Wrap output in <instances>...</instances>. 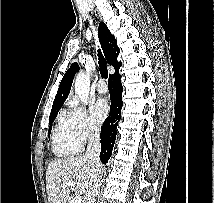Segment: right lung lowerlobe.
Instances as JSON below:
<instances>
[{
  "label": "right lung lower lobe",
  "instance_id": "1",
  "mask_svg": "<svg viewBox=\"0 0 214 203\" xmlns=\"http://www.w3.org/2000/svg\"><path fill=\"white\" fill-rule=\"evenodd\" d=\"M108 87L111 98L110 113L107 119L104 121L100 139H101V153L100 160L103 164H106L110 158L115 143L116 126L120 120L121 108H122V85L120 81L119 73L109 77Z\"/></svg>",
  "mask_w": 214,
  "mask_h": 203
}]
</instances>
